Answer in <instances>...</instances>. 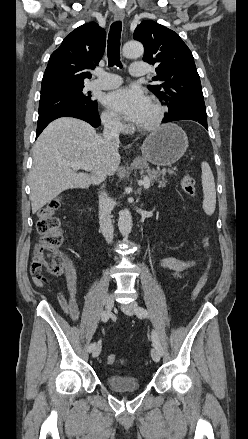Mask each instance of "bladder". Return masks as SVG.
Here are the masks:
<instances>
[{"label":"bladder","instance_id":"31cf9c89","mask_svg":"<svg viewBox=\"0 0 248 439\" xmlns=\"http://www.w3.org/2000/svg\"><path fill=\"white\" fill-rule=\"evenodd\" d=\"M106 384L116 392H133L141 388L140 381L136 377L122 374H108Z\"/></svg>","mask_w":248,"mask_h":439}]
</instances>
